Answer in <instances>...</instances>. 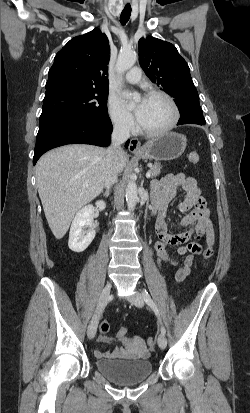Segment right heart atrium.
Returning <instances> with one entry per match:
<instances>
[{
  "label": "right heart atrium",
  "instance_id": "right-heart-atrium-1",
  "mask_svg": "<svg viewBox=\"0 0 250 413\" xmlns=\"http://www.w3.org/2000/svg\"><path fill=\"white\" fill-rule=\"evenodd\" d=\"M107 111L113 126L117 130L130 133L135 129L133 116L126 110L118 96L113 94L108 96Z\"/></svg>",
  "mask_w": 250,
  "mask_h": 413
}]
</instances>
